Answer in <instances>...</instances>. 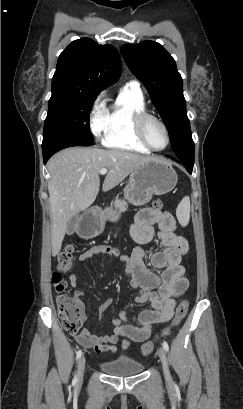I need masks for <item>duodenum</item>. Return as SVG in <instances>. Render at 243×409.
Masks as SVG:
<instances>
[{"label":"duodenum","mask_w":243,"mask_h":409,"mask_svg":"<svg viewBox=\"0 0 243 409\" xmlns=\"http://www.w3.org/2000/svg\"><path fill=\"white\" fill-rule=\"evenodd\" d=\"M96 210L98 211L99 214H102V209L100 207H97Z\"/></svg>","instance_id":"410a0bca"}]
</instances>
